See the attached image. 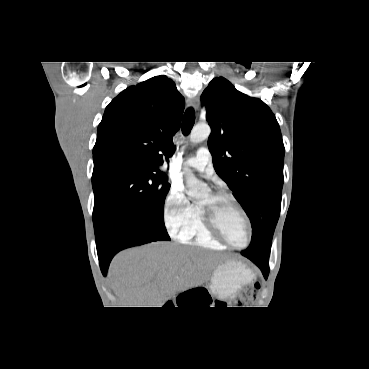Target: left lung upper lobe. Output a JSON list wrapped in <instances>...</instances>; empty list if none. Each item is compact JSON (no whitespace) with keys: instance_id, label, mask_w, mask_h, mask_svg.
Returning a JSON list of instances; mask_svg holds the SVG:
<instances>
[{"instance_id":"obj_1","label":"left lung upper lobe","mask_w":369,"mask_h":369,"mask_svg":"<svg viewBox=\"0 0 369 369\" xmlns=\"http://www.w3.org/2000/svg\"><path fill=\"white\" fill-rule=\"evenodd\" d=\"M201 99L211 127L214 168L250 218L252 239L241 254L268 262L284 181L279 124L263 101L239 92L223 77L214 78Z\"/></svg>"}]
</instances>
